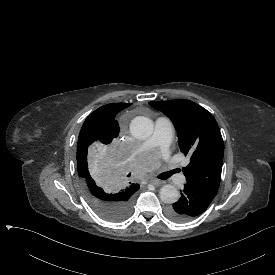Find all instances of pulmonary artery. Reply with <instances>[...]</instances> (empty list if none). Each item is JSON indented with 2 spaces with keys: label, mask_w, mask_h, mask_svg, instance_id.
Here are the masks:
<instances>
[{
  "label": "pulmonary artery",
  "mask_w": 275,
  "mask_h": 275,
  "mask_svg": "<svg viewBox=\"0 0 275 275\" xmlns=\"http://www.w3.org/2000/svg\"><path fill=\"white\" fill-rule=\"evenodd\" d=\"M174 135L175 132L170 128V122L165 117H158L155 120V132L149 141L141 145L139 150L133 151L131 156L127 157V160H134L137 155L150 151L152 146L156 147L160 142L162 151L165 154H172L175 151Z\"/></svg>",
  "instance_id": "pulmonary-artery-1"
}]
</instances>
